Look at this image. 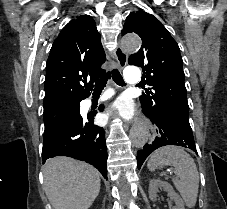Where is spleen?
Instances as JSON below:
<instances>
[{
	"mask_svg": "<svg viewBox=\"0 0 227 209\" xmlns=\"http://www.w3.org/2000/svg\"><path fill=\"white\" fill-rule=\"evenodd\" d=\"M147 167L149 171L174 167L176 177L173 179L174 187L179 191L186 207L194 209L199 191V173L194 159L184 151L183 147L167 145L154 151Z\"/></svg>",
	"mask_w": 227,
	"mask_h": 209,
	"instance_id": "3e777b00",
	"label": "spleen"
}]
</instances>
